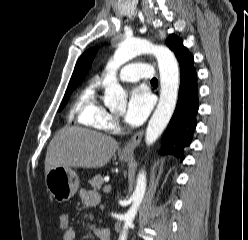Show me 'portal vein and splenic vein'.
<instances>
[{"label":"portal vein and splenic vein","mask_w":248,"mask_h":240,"mask_svg":"<svg viewBox=\"0 0 248 240\" xmlns=\"http://www.w3.org/2000/svg\"><path fill=\"white\" fill-rule=\"evenodd\" d=\"M103 191L105 193H109L111 191V185H106L104 188H103Z\"/></svg>","instance_id":"obj_1"}]
</instances>
